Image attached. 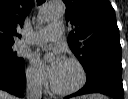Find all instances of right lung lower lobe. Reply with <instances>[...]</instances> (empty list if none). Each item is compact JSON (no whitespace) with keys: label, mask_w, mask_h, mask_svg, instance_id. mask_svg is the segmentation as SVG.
I'll list each match as a JSON object with an SVG mask.
<instances>
[{"label":"right lung lower lobe","mask_w":128,"mask_h":99,"mask_svg":"<svg viewBox=\"0 0 128 99\" xmlns=\"http://www.w3.org/2000/svg\"><path fill=\"white\" fill-rule=\"evenodd\" d=\"M26 85L25 64L16 71L0 69V89L22 97Z\"/></svg>","instance_id":"1"}]
</instances>
